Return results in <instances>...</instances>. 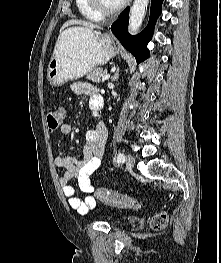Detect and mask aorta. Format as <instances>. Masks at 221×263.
<instances>
[{"label":"aorta","instance_id":"aorta-1","mask_svg":"<svg viewBox=\"0 0 221 263\" xmlns=\"http://www.w3.org/2000/svg\"><path fill=\"white\" fill-rule=\"evenodd\" d=\"M149 0H134L130 10L129 32L134 35L142 25Z\"/></svg>","mask_w":221,"mask_h":263}]
</instances>
